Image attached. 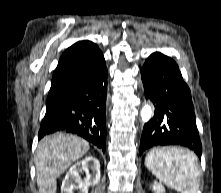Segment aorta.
Wrapping results in <instances>:
<instances>
[{
    "instance_id": "762f6f07",
    "label": "aorta",
    "mask_w": 221,
    "mask_h": 193,
    "mask_svg": "<svg viewBox=\"0 0 221 193\" xmlns=\"http://www.w3.org/2000/svg\"><path fill=\"white\" fill-rule=\"evenodd\" d=\"M153 115V109L150 105L146 104L142 110H141V113H140V116H141V119L143 122H147L148 120L151 119Z\"/></svg>"
}]
</instances>
